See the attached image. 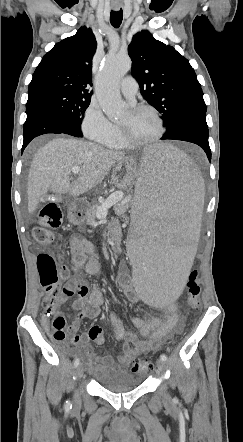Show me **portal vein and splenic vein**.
<instances>
[{
    "label": "portal vein and splenic vein",
    "mask_w": 243,
    "mask_h": 442,
    "mask_svg": "<svg viewBox=\"0 0 243 442\" xmlns=\"http://www.w3.org/2000/svg\"><path fill=\"white\" fill-rule=\"evenodd\" d=\"M72 172L74 174L80 173V167L75 166L72 168ZM123 198L122 192H117L109 196V198L105 201L102 206H100L96 212V217L98 219H103L107 216L108 209L111 208L113 205H115L117 202H119Z\"/></svg>",
    "instance_id": "1"
}]
</instances>
